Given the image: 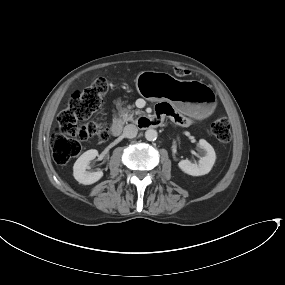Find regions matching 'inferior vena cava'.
<instances>
[{
  "instance_id": "602c4592",
  "label": "inferior vena cava",
  "mask_w": 285,
  "mask_h": 285,
  "mask_svg": "<svg viewBox=\"0 0 285 285\" xmlns=\"http://www.w3.org/2000/svg\"><path fill=\"white\" fill-rule=\"evenodd\" d=\"M138 132V128L134 124H128L124 127L123 134L126 138H134L136 137Z\"/></svg>"
}]
</instances>
